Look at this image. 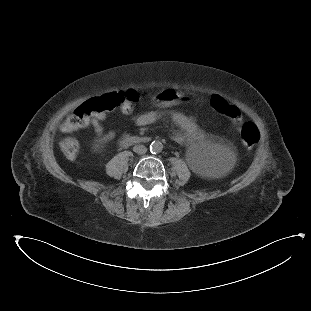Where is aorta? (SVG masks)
<instances>
[{
	"mask_svg": "<svg viewBox=\"0 0 311 311\" xmlns=\"http://www.w3.org/2000/svg\"><path fill=\"white\" fill-rule=\"evenodd\" d=\"M162 148H163V145L161 142L159 141H156V142H153L151 143L150 145V152L155 154V153H159L162 151Z\"/></svg>",
	"mask_w": 311,
	"mask_h": 311,
	"instance_id": "1",
	"label": "aorta"
}]
</instances>
